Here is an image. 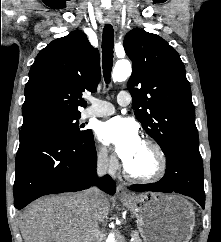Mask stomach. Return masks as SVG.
Instances as JSON below:
<instances>
[{
	"label": "stomach",
	"mask_w": 221,
	"mask_h": 242,
	"mask_svg": "<svg viewBox=\"0 0 221 242\" xmlns=\"http://www.w3.org/2000/svg\"><path fill=\"white\" fill-rule=\"evenodd\" d=\"M121 202L137 218L144 242H189L192 237L194 211L179 195L142 193Z\"/></svg>",
	"instance_id": "0dacf381"
}]
</instances>
